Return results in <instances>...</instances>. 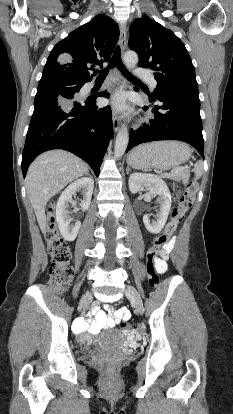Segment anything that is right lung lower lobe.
Masks as SVG:
<instances>
[{
	"mask_svg": "<svg viewBox=\"0 0 233 414\" xmlns=\"http://www.w3.org/2000/svg\"><path fill=\"white\" fill-rule=\"evenodd\" d=\"M75 93L38 91L34 112L22 153V172L40 153L51 149L70 151L86 161L99 175L103 156L113 136L111 108L96 106L97 97H109L101 92L85 101L73 100Z\"/></svg>",
	"mask_w": 233,
	"mask_h": 414,
	"instance_id": "right-lung-lower-lobe-1",
	"label": "right lung lower lobe"
}]
</instances>
